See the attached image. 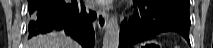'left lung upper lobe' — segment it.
Returning <instances> with one entry per match:
<instances>
[{"instance_id":"obj_1","label":"left lung upper lobe","mask_w":213,"mask_h":48,"mask_svg":"<svg viewBox=\"0 0 213 48\" xmlns=\"http://www.w3.org/2000/svg\"><path fill=\"white\" fill-rule=\"evenodd\" d=\"M176 1L182 2V3L186 4V5H190V1L189 0H176Z\"/></svg>"}]
</instances>
